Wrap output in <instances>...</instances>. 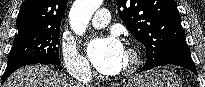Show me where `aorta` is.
<instances>
[{
    "label": "aorta",
    "mask_w": 205,
    "mask_h": 87,
    "mask_svg": "<svg viewBox=\"0 0 205 87\" xmlns=\"http://www.w3.org/2000/svg\"><path fill=\"white\" fill-rule=\"evenodd\" d=\"M102 2L103 0H75L69 12L70 26L75 34H85L91 17Z\"/></svg>",
    "instance_id": "1"
}]
</instances>
